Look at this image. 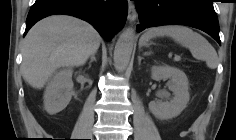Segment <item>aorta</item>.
I'll return each instance as SVG.
<instances>
[{
  "label": "aorta",
  "instance_id": "obj_1",
  "mask_svg": "<svg viewBox=\"0 0 236 140\" xmlns=\"http://www.w3.org/2000/svg\"><path fill=\"white\" fill-rule=\"evenodd\" d=\"M135 31L128 28L122 32L114 50V64L118 71H124L129 62L133 50Z\"/></svg>",
  "mask_w": 236,
  "mask_h": 140
}]
</instances>
